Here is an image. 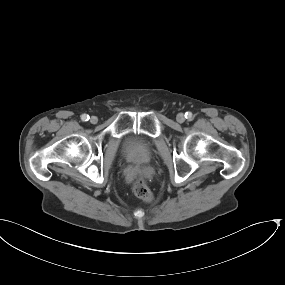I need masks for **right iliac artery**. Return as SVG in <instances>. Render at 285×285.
Here are the masks:
<instances>
[{"mask_svg":"<svg viewBox=\"0 0 285 285\" xmlns=\"http://www.w3.org/2000/svg\"><path fill=\"white\" fill-rule=\"evenodd\" d=\"M89 118H90V117H89V115H87V114H83V115L81 116V120L84 121V122L88 121Z\"/></svg>","mask_w":285,"mask_h":285,"instance_id":"1","label":"right iliac artery"}]
</instances>
